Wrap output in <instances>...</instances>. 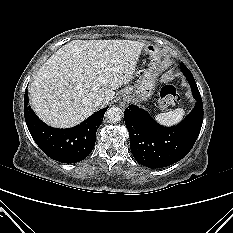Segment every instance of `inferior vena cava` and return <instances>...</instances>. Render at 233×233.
Masks as SVG:
<instances>
[{
  "instance_id": "inferior-vena-cava-1",
  "label": "inferior vena cava",
  "mask_w": 233,
  "mask_h": 233,
  "mask_svg": "<svg viewBox=\"0 0 233 233\" xmlns=\"http://www.w3.org/2000/svg\"><path fill=\"white\" fill-rule=\"evenodd\" d=\"M104 99L102 97H96L93 101L95 107H99L103 104Z\"/></svg>"
}]
</instances>
